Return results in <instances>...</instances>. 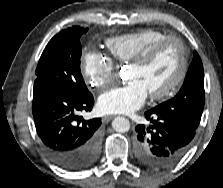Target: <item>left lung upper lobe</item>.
Instances as JSON below:
<instances>
[{"label":"left lung upper lobe","instance_id":"1","mask_svg":"<svg viewBox=\"0 0 223 188\" xmlns=\"http://www.w3.org/2000/svg\"><path fill=\"white\" fill-rule=\"evenodd\" d=\"M204 102V70L198 53L194 51L193 61L178 94L151 110L171 121L197 129Z\"/></svg>","mask_w":223,"mask_h":188}]
</instances>
